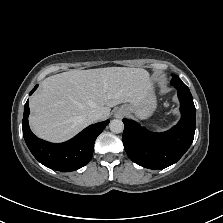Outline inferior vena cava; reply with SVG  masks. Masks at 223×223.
<instances>
[{
  "instance_id": "inferior-vena-cava-1",
  "label": "inferior vena cava",
  "mask_w": 223,
  "mask_h": 223,
  "mask_svg": "<svg viewBox=\"0 0 223 223\" xmlns=\"http://www.w3.org/2000/svg\"><path fill=\"white\" fill-rule=\"evenodd\" d=\"M88 118L92 122H95V121L101 120L103 118V113L98 109H94L89 113Z\"/></svg>"
}]
</instances>
